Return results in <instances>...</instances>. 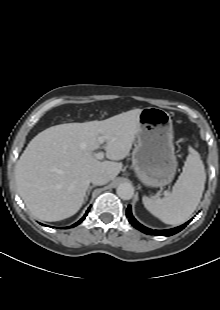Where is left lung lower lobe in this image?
<instances>
[{"label":"left lung lower lobe","instance_id":"left-lung-lower-lobe-1","mask_svg":"<svg viewBox=\"0 0 220 310\" xmlns=\"http://www.w3.org/2000/svg\"><path fill=\"white\" fill-rule=\"evenodd\" d=\"M126 216L129 218V222L138 230L142 231L145 234L148 235H157V236H171L174 235L178 232H180L182 229H184L186 227V225H188L190 223L189 220L188 222H186L185 224L176 227V228H172V229H168V230H152L150 228H147L145 226H143L142 224H140L132 215L131 213V206H128L127 210H126Z\"/></svg>","mask_w":220,"mask_h":310}]
</instances>
